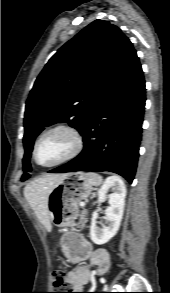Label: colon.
<instances>
[{"mask_svg":"<svg viewBox=\"0 0 170 293\" xmlns=\"http://www.w3.org/2000/svg\"><path fill=\"white\" fill-rule=\"evenodd\" d=\"M53 286L62 292L55 293H68L64 291H68V286L65 282V270L62 268L57 269L53 274Z\"/></svg>","mask_w":170,"mask_h":293,"instance_id":"1","label":"colon"}]
</instances>
